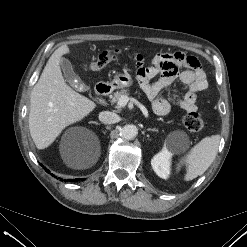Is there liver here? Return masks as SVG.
<instances>
[{"instance_id":"obj_1","label":"liver","mask_w":247,"mask_h":247,"mask_svg":"<svg viewBox=\"0 0 247 247\" xmlns=\"http://www.w3.org/2000/svg\"><path fill=\"white\" fill-rule=\"evenodd\" d=\"M62 45L49 58L30 98L29 130L38 149L50 146L63 129L86 117L96 108L87 97L66 84L60 67L61 57L69 54ZM98 156L86 163L69 164L73 169H86L97 162Z\"/></svg>"}]
</instances>
